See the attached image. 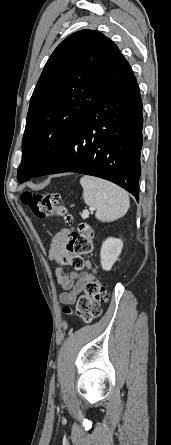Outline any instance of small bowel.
<instances>
[{
	"mask_svg": "<svg viewBox=\"0 0 171 445\" xmlns=\"http://www.w3.org/2000/svg\"><path fill=\"white\" fill-rule=\"evenodd\" d=\"M71 234L70 229H62L58 231L49 242L48 259L51 262L63 264L64 258L67 256L66 245ZM86 266L90 267V262H86ZM57 283L64 289L59 296L62 303L73 304L79 294L82 292L85 284L93 279V275L88 271H71L67 272L62 268L55 271Z\"/></svg>",
	"mask_w": 171,
	"mask_h": 445,
	"instance_id": "obj_1",
	"label": "small bowel"
}]
</instances>
